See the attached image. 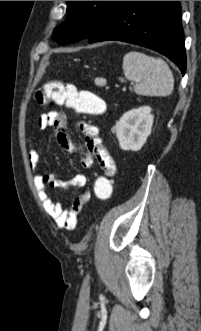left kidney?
Listing matches in <instances>:
<instances>
[{"label":"left kidney","mask_w":201,"mask_h":331,"mask_svg":"<svg viewBox=\"0 0 201 331\" xmlns=\"http://www.w3.org/2000/svg\"><path fill=\"white\" fill-rule=\"evenodd\" d=\"M153 119L149 106L126 112L115 126L120 148L132 151L140 150L151 133Z\"/></svg>","instance_id":"left-kidney-1"}]
</instances>
